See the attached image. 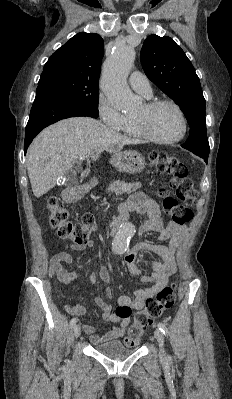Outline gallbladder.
<instances>
[{
  "label": "gallbladder",
  "instance_id": "gallbladder-1",
  "mask_svg": "<svg viewBox=\"0 0 232 399\" xmlns=\"http://www.w3.org/2000/svg\"><path fill=\"white\" fill-rule=\"evenodd\" d=\"M72 168L79 170L81 168V165L79 163H76L72 165ZM63 186H68V188H75V186H78V178L76 176V172H72V170L66 172L64 176Z\"/></svg>",
  "mask_w": 232,
  "mask_h": 399
}]
</instances>
